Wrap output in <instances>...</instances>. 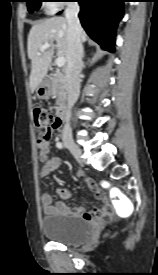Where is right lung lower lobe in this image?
Wrapping results in <instances>:
<instances>
[{
	"label": "right lung lower lobe",
	"mask_w": 158,
	"mask_h": 275,
	"mask_svg": "<svg viewBox=\"0 0 158 275\" xmlns=\"http://www.w3.org/2000/svg\"><path fill=\"white\" fill-rule=\"evenodd\" d=\"M79 18L87 34L104 50L114 52L116 28L123 17L125 0H76Z\"/></svg>",
	"instance_id": "obj_1"
}]
</instances>
